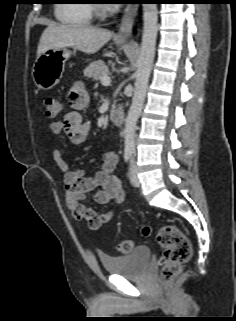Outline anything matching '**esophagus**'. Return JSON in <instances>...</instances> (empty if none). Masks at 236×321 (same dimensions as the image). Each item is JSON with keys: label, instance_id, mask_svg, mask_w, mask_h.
I'll use <instances>...</instances> for the list:
<instances>
[{"label": "esophagus", "instance_id": "34e87169", "mask_svg": "<svg viewBox=\"0 0 236 321\" xmlns=\"http://www.w3.org/2000/svg\"><path fill=\"white\" fill-rule=\"evenodd\" d=\"M138 6L134 4H129L124 9L120 26L115 38L118 40H126L130 38L132 33V28L134 24L135 17L137 15Z\"/></svg>", "mask_w": 236, "mask_h": 321}]
</instances>
